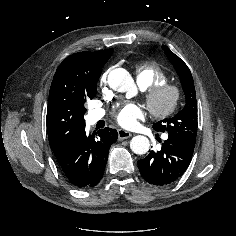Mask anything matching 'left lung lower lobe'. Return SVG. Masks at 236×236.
Wrapping results in <instances>:
<instances>
[{"instance_id":"0a47b994","label":"left lung lower lobe","mask_w":236,"mask_h":236,"mask_svg":"<svg viewBox=\"0 0 236 236\" xmlns=\"http://www.w3.org/2000/svg\"><path fill=\"white\" fill-rule=\"evenodd\" d=\"M193 151L194 147L168 137L160 151H150L144 159L138 161L140 173L152 185H168L183 175Z\"/></svg>"}]
</instances>
